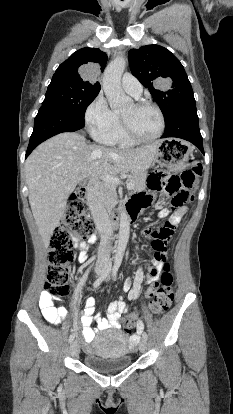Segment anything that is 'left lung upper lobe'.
Here are the masks:
<instances>
[{
  "label": "left lung upper lobe",
  "mask_w": 233,
  "mask_h": 414,
  "mask_svg": "<svg viewBox=\"0 0 233 414\" xmlns=\"http://www.w3.org/2000/svg\"><path fill=\"white\" fill-rule=\"evenodd\" d=\"M132 74L149 89L165 121L184 102L194 101L193 90L184 67L166 48L147 45L128 53ZM168 82L159 89L158 82Z\"/></svg>",
  "instance_id": "left-lung-upper-lobe-1"
}]
</instances>
